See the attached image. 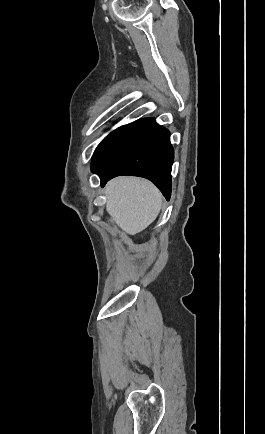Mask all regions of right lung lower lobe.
Masks as SVG:
<instances>
[{
  "mask_svg": "<svg viewBox=\"0 0 265 434\" xmlns=\"http://www.w3.org/2000/svg\"><path fill=\"white\" fill-rule=\"evenodd\" d=\"M169 131L152 118H144L112 131L99 144L92 158V172L101 186L119 175L151 180L167 200L171 195V169L174 159Z\"/></svg>",
  "mask_w": 265,
  "mask_h": 434,
  "instance_id": "obj_1",
  "label": "right lung lower lobe"
}]
</instances>
